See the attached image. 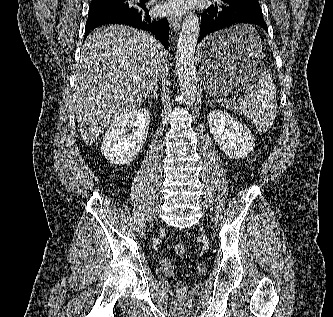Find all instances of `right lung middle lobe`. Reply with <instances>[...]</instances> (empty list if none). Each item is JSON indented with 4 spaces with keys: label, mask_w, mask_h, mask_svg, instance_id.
<instances>
[{
    "label": "right lung middle lobe",
    "mask_w": 333,
    "mask_h": 317,
    "mask_svg": "<svg viewBox=\"0 0 333 317\" xmlns=\"http://www.w3.org/2000/svg\"><path fill=\"white\" fill-rule=\"evenodd\" d=\"M128 0H92L89 11L105 8H130Z\"/></svg>",
    "instance_id": "1"
}]
</instances>
